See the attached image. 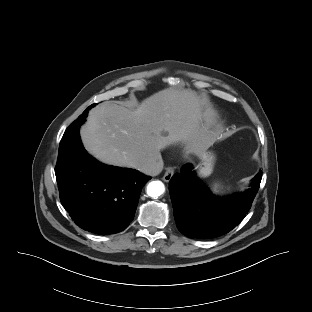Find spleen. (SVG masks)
<instances>
[{
  "label": "spleen",
  "mask_w": 312,
  "mask_h": 312,
  "mask_svg": "<svg viewBox=\"0 0 312 312\" xmlns=\"http://www.w3.org/2000/svg\"><path fill=\"white\" fill-rule=\"evenodd\" d=\"M213 191H214L215 193H217V192H218L216 188H215Z\"/></svg>",
  "instance_id": "3e777b00"
}]
</instances>
